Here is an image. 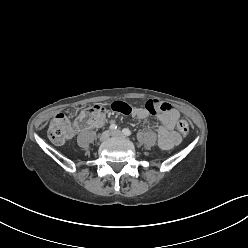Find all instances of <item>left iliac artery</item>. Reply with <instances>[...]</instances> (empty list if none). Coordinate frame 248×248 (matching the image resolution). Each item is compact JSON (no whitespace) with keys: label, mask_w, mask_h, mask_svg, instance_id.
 <instances>
[{"label":"left iliac artery","mask_w":248,"mask_h":248,"mask_svg":"<svg viewBox=\"0 0 248 248\" xmlns=\"http://www.w3.org/2000/svg\"><path fill=\"white\" fill-rule=\"evenodd\" d=\"M122 132H123V134L126 135V136H130V135L132 134L131 131H130L128 128H124V129L122 130Z\"/></svg>","instance_id":"left-iliac-artery-1"}]
</instances>
